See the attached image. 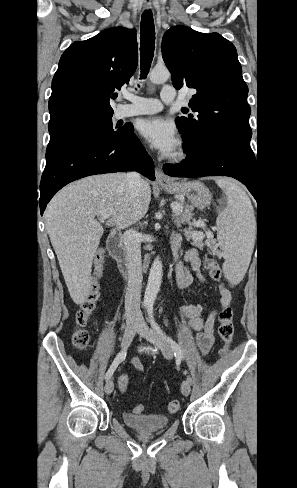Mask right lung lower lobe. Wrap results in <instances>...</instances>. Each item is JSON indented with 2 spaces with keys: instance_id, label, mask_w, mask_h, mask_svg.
<instances>
[{
  "instance_id": "obj_1",
  "label": "right lung lower lobe",
  "mask_w": 297,
  "mask_h": 488,
  "mask_svg": "<svg viewBox=\"0 0 297 488\" xmlns=\"http://www.w3.org/2000/svg\"><path fill=\"white\" fill-rule=\"evenodd\" d=\"M136 170L155 179L153 162L133 132L73 144L46 160L40 183V212L66 184L82 177Z\"/></svg>"
}]
</instances>
